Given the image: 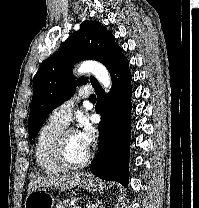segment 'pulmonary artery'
Masks as SVG:
<instances>
[{"label":"pulmonary artery","mask_w":199,"mask_h":208,"mask_svg":"<svg viewBox=\"0 0 199 208\" xmlns=\"http://www.w3.org/2000/svg\"><path fill=\"white\" fill-rule=\"evenodd\" d=\"M91 95H93V89L91 87H84L80 89L72 99L55 108L50 118L65 126L68 125L71 120L75 102L81 98H90Z\"/></svg>","instance_id":"1"}]
</instances>
